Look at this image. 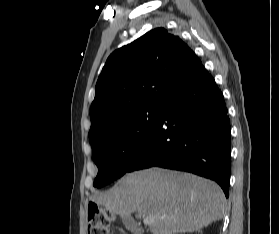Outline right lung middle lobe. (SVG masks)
<instances>
[{
  "label": "right lung middle lobe",
  "instance_id": "obj_1",
  "mask_svg": "<svg viewBox=\"0 0 279 234\" xmlns=\"http://www.w3.org/2000/svg\"><path fill=\"white\" fill-rule=\"evenodd\" d=\"M161 108H149L117 120L111 130L91 143L98 166L95 187H103L128 172L158 123Z\"/></svg>",
  "mask_w": 279,
  "mask_h": 234
}]
</instances>
